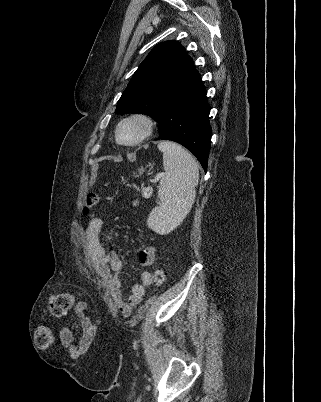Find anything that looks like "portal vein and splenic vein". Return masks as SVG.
Instances as JSON below:
<instances>
[{
	"mask_svg": "<svg viewBox=\"0 0 321 402\" xmlns=\"http://www.w3.org/2000/svg\"><path fill=\"white\" fill-rule=\"evenodd\" d=\"M161 176H162V174H158V175H157V179L160 178ZM151 189H152L151 186H148L147 188H145V190H143V192H142L143 197H145V198L150 197V191H151Z\"/></svg>",
	"mask_w": 321,
	"mask_h": 402,
	"instance_id": "18ae733b",
	"label": "portal vein and splenic vein"
}]
</instances>
